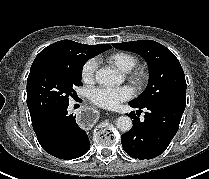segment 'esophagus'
Instances as JSON below:
<instances>
[{"mask_svg":"<svg viewBox=\"0 0 209 179\" xmlns=\"http://www.w3.org/2000/svg\"><path fill=\"white\" fill-rule=\"evenodd\" d=\"M76 121L81 128L91 129L98 124L99 118L92 109H81L77 113Z\"/></svg>","mask_w":209,"mask_h":179,"instance_id":"esophagus-1","label":"esophagus"}]
</instances>
